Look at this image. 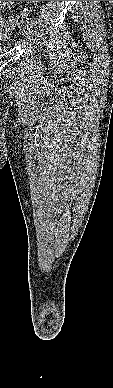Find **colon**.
<instances>
[{"label": "colon", "mask_w": 113, "mask_h": 388, "mask_svg": "<svg viewBox=\"0 0 113 388\" xmlns=\"http://www.w3.org/2000/svg\"><path fill=\"white\" fill-rule=\"evenodd\" d=\"M37 1H33V3H36ZM27 11L28 10H25L24 12L20 13V14H16V15H12L10 16L6 22L7 24H10V25H18V24H21L25 17H26V14H27Z\"/></svg>", "instance_id": "obj_1"}]
</instances>
